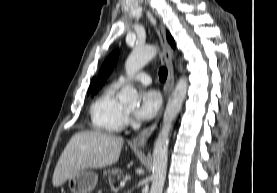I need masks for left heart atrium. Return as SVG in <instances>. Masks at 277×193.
Returning <instances> with one entry per match:
<instances>
[{"label": "left heart atrium", "mask_w": 277, "mask_h": 193, "mask_svg": "<svg viewBox=\"0 0 277 193\" xmlns=\"http://www.w3.org/2000/svg\"><path fill=\"white\" fill-rule=\"evenodd\" d=\"M161 106V97L155 90L143 91L140 95V102L135 111L139 120L148 121L156 116Z\"/></svg>", "instance_id": "1"}]
</instances>
